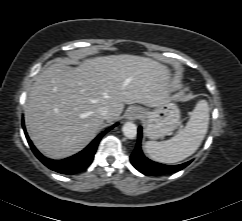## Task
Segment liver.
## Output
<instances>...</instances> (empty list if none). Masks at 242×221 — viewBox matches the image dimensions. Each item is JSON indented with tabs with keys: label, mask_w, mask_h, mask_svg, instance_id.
<instances>
[{
	"label": "liver",
	"mask_w": 242,
	"mask_h": 221,
	"mask_svg": "<svg viewBox=\"0 0 242 221\" xmlns=\"http://www.w3.org/2000/svg\"><path fill=\"white\" fill-rule=\"evenodd\" d=\"M170 69L151 58L120 54L85 58L77 67L54 63L30 89L24 116L28 135L46 157L63 159L81 151L124 104L157 108L170 102Z\"/></svg>",
	"instance_id": "1"
}]
</instances>
